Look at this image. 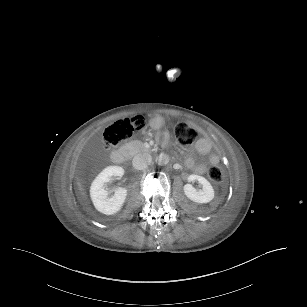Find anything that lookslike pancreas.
Listing matches in <instances>:
<instances>
[{"mask_svg": "<svg viewBox=\"0 0 307 307\" xmlns=\"http://www.w3.org/2000/svg\"><path fill=\"white\" fill-rule=\"evenodd\" d=\"M138 148H139V149H142V150H144V148H143V147H142L141 145H140V146H138Z\"/></svg>", "mask_w": 307, "mask_h": 307, "instance_id": "pancreas-1", "label": "pancreas"}]
</instances>
